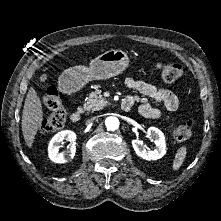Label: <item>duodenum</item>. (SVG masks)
Instances as JSON below:
<instances>
[{
	"instance_id": "1",
	"label": "duodenum",
	"mask_w": 221,
	"mask_h": 221,
	"mask_svg": "<svg viewBox=\"0 0 221 221\" xmlns=\"http://www.w3.org/2000/svg\"><path fill=\"white\" fill-rule=\"evenodd\" d=\"M62 91L69 94L71 92V89L66 86H62ZM121 108L124 111H129L130 110V105L128 103H122ZM83 115V110L81 108L76 109L72 115H71V121L72 122H78Z\"/></svg>"
}]
</instances>
